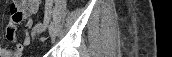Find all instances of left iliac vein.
Returning <instances> with one entry per match:
<instances>
[{"mask_svg": "<svg viewBox=\"0 0 172 57\" xmlns=\"http://www.w3.org/2000/svg\"><path fill=\"white\" fill-rule=\"evenodd\" d=\"M49 33L51 36H55L57 33V24L55 22H51L49 25Z\"/></svg>", "mask_w": 172, "mask_h": 57, "instance_id": "4c4485c4", "label": "left iliac vein"}]
</instances>
